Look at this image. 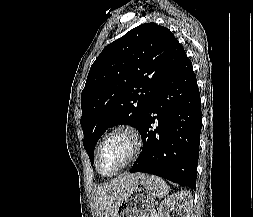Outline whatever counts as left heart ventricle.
I'll list each match as a JSON object with an SVG mask.
<instances>
[{"instance_id": "b2bd125f", "label": "left heart ventricle", "mask_w": 253, "mask_h": 217, "mask_svg": "<svg viewBox=\"0 0 253 217\" xmlns=\"http://www.w3.org/2000/svg\"><path fill=\"white\" fill-rule=\"evenodd\" d=\"M132 150L130 139L116 134L106 141L99 155V170L110 174L119 168L129 157Z\"/></svg>"}]
</instances>
